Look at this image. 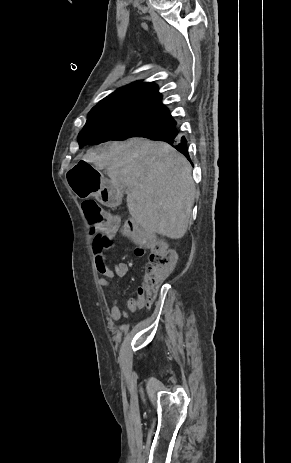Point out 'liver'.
I'll list each match as a JSON object with an SVG mask.
<instances>
[{
  "instance_id": "liver-1",
  "label": "liver",
  "mask_w": 291,
  "mask_h": 463,
  "mask_svg": "<svg viewBox=\"0 0 291 463\" xmlns=\"http://www.w3.org/2000/svg\"><path fill=\"white\" fill-rule=\"evenodd\" d=\"M83 161L106 169L114 187H128L129 213L146 231L171 239L185 235L195 184L190 163L170 145L132 138L89 151Z\"/></svg>"
}]
</instances>
